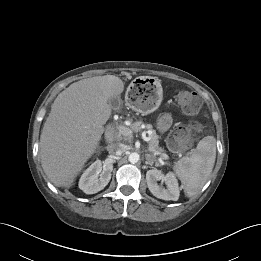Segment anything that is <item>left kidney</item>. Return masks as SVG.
I'll list each match as a JSON object with an SVG mask.
<instances>
[{"instance_id": "left-kidney-1", "label": "left kidney", "mask_w": 261, "mask_h": 261, "mask_svg": "<svg viewBox=\"0 0 261 261\" xmlns=\"http://www.w3.org/2000/svg\"><path fill=\"white\" fill-rule=\"evenodd\" d=\"M146 181L150 192L155 197L167 201H177L179 199L180 191L174 173L169 172L165 175L160 170L152 169L147 171ZM158 181H161V185L158 184ZM163 183H165L166 187H163Z\"/></svg>"}]
</instances>
